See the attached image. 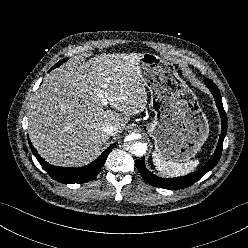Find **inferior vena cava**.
I'll return each instance as SVG.
<instances>
[{"label":"inferior vena cava","mask_w":248,"mask_h":248,"mask_svg":"<svg viewBox=\"0 0 248 248\" xmlns=\"http://www.w3.org/2000/svg\"><path fill=\"white\" fill-rule=\"evenodd\" d=\"M101 130L109 136H113L118 133V127L113 124H105L101 127Z\"/></svg>","instance_id":"602c4592"}]
</instances>
